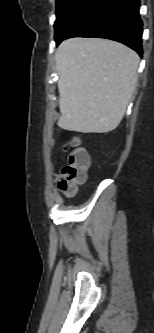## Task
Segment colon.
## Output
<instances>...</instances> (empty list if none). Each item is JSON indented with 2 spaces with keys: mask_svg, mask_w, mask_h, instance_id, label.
I'll return each mask as SVG.
<instances>
[{
  "mask_svg": "<svg viewBox=\"0 0 154 333\" xmlns=\"http://www.w3.org/2000/svg\"><path fill=\"white\" fill-rule=\"evenodd\" d=\"M64 150L69 154L57 186L65 195L73 196L78 185L83 184L86 180L89 159L87 152L78 146L76 139L68 141L64 145Z\"/></svg>",
  "mask_w": 154,
  "mask_h": 333,
  "instance_id": "obj_1",
  "label": "colon"
}]
</instances>
